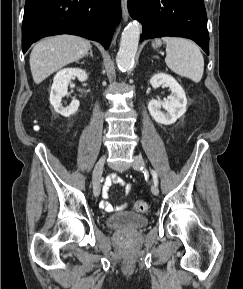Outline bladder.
Listing matches in <instances>:
<instances>
[{"label": "bladder", "instance_id": "bladder-1", "mask_svg": "<svg viewBox=\"0 0 243 289\" xmlns=\"http://www.w3.org/2000/svg\"><path fill=\"white\" fill-rule=\"evenodd\" d=\"M148 224L146 216L131 212L123 211L111 215L107 219V225L112 229L118 230H135L140 229Z\"/></svg>", "mask_w": 243, "mask_h": 289}]
</instances>
